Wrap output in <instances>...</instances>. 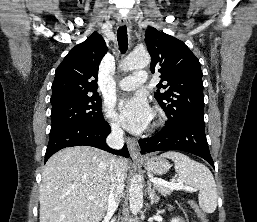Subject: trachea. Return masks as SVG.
<instances>
[{"label":"trachea","mask_w":257,"mask_h":222,"mask_svg":"<svg viewBox=\"0 0 257 222\" xmlns=\"http://www.w3.org/2000/svg\"><path fill=\"white\" fill-rule=\"evenodd\" d=\"M117 40H118L119 50L121 51V53H125L128 48L127 28L125 25L118 28Z\"/></svg>","instance_id":"obj_1"}]
</instances>
